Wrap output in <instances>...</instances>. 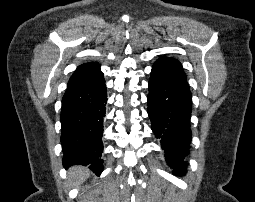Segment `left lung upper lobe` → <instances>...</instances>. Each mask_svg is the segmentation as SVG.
I'll list each match as a JSON object with an SVG mask.
<instances>
[{
  "label": "left lung upper lobe",
  "mask_w": 255,
  "mask_h": 202,
  "mask_svg": "<svg viewBox=\"0 0 255 202\" xmlns=\"http://www.w3.org/2000/svg\"><path fill=\"white\" fill-rule=\"evenodd\" d=\"M151 73L163 75L175 83L188 86L182 65L174 58L160 57L154 63Z\"/></svg>",
  "instance_id": "left-lung-upper-lobe-1"
}]
</instances>
